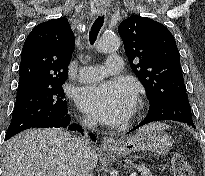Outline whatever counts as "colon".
I'll list each match as a JSON object with an SVG mask.
<instances>
[{"label":"colon","mask_w":205,"mask_h":176,"mask_svg":"<svg viewBox=\"0 0 205 176\" xmlns=\"http://www.w3.org/2000/svg\"><path fill=\"white\" fill-rule=\"evenodd\" d=\"M174 176H195L190 164L181 154H176L172 161Z\"/></svg>","instance_id":"colon-1"}]
</instances>
